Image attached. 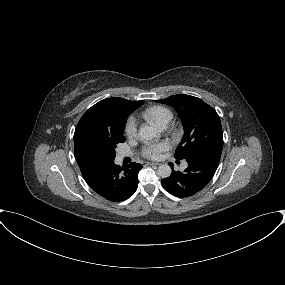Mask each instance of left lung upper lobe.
<instances>
[{
    "instance_id": "left-lung-upper-lobe-1",
    "label": "left lung upper lobe",
    "mask_w": 285,
    "mask_h": 285,
    "mask_svg": "<svg viewBox=\"0 0 285 285\" xmlns=\"http://www.w3.org/2000/svg\"><path fill=\"white\" fill-rule=\"evenodd\" d=\"M171 105L180 116L184 135L176 149V159L187 157L202 151L221 150L223 133L217 112L200 98L180 94L157 100Z\"/></svg>"
}]
</instances>
